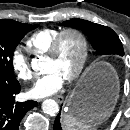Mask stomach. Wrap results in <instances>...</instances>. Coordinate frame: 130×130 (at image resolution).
<instances>
[{"label":"stomach","mask_w":130,"mask_h":130,"mask_svg":"<svg viewBox=\"0 0 130 130\" xmlns=\"http://www.w3.org/2000/svg\"><path fill=\"white\" fill-rule=\"evenodd\" d=\"M89 75L105 77L93 91L83 95L82 84ZM119 80L114 68L101 63L88 72L66 100L65 112L91 126L110 117L119 97Z\"/></svg>","instance_id":"obj_1"}]
</instances>
